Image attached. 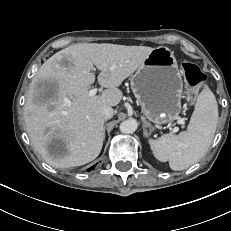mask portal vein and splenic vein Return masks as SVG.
Returning a JSON list of instances; mask_svg holds the SVG:
<instances>
[{
    "instance_id": "1",
    "label": "portal vein and splenic vein",
    "mask_w": 231,
    "mask_h": 231,
    "mask_svg": "<svg viewBox=\"0 0 231 231\" xmlns=\"http://www.w3.org/2000/svg\"><path fill=\"white\" fill-rule=\"evenodd\" d=\"M97 91H98L97 88L91 89V90L89 91V96H95L96 93H97ZM178 123H179V124H184L185 122H184L183 119H180Z\"/></svg>"
}]
</instances>
